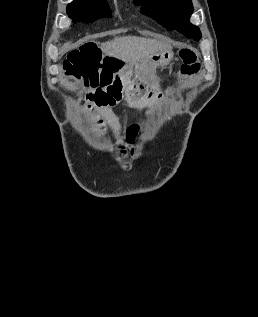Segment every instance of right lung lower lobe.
Wrapping results in <instances>:
<instances>
[{
    "instance_id": "right-lung-lower-lobe-1",
    "label": "right lung lower lobe",
    "mask_w": 258,
    "mask_h": 317,
    "mask_svg": "<svg viewBox=\"0 0 258 317\" xmlns=\"http://www.w3.org/2000/svg\"><path fill=\"white\" fill-rule=\"evenodd\" d=\"M71 19H73L74 21H79L77 20L75 17L69 16Z\"/></svg>"
}]
</instances>
